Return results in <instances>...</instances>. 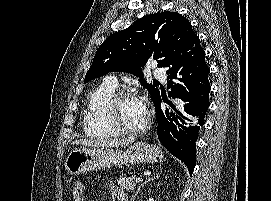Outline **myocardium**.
Masks as SVG:
<instances>
[{
	"instance_id": "obj_1",
	"label": "myocardium",
	"mask_w": 271,
	"mask_h": 201,
	"mask_svg": "<svg viewBox=\"0 0 271 201\" xmlns=\"http://www.w3.org/2000/svg\"><path fill=\"white\" fill-rule=\"evenodd\" d=\"M126 98H133V96L126 91H119V92L114 93L110 97V99L108 100V103L106 105V113L109 118V121L111 122V124L114 126V128L117 130V132L119 134H123V135L141 134V133L145 132L150 126V120L148 117H146L145 122L140 127L131 128V127L124 125L120 121V119L116 113V107H117L118 103L121 100L126 99Z\"/></svg>"
}]
</instances>
